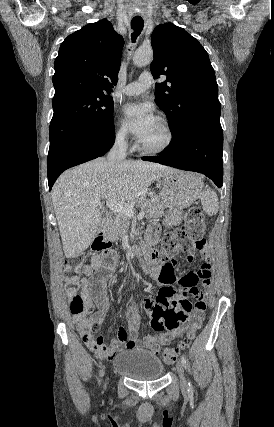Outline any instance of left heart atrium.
Instances as JSON below:
<instances>
[{
  "label": "left heart atrium",
  "mask_w": 274,
  "mask_h": 427,
  "mask_svg": "<svg viewBox=\"0 0 274 427\" xmlns=\"http://www.w3.org/2000/svg\"><path fill=\"white\" fill-rule=\"evenodd\" d=\"M122 118L127 129L138 139L143 138L156 121L152 109L142 103L124 106Z\"/></svg>",
  "instance_id": "1"
}]
</instances>
